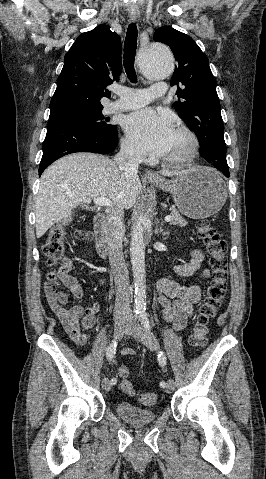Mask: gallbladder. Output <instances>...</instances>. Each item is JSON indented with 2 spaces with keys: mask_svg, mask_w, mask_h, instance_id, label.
I'll return each instance as SVG.
<instances>
[{
  "mask_svg": "<svg viewBox=\"0 0 266 479\" xmlns=\"http://www.w3.org/2000/svg\"><path fill=\"white\" fill-rule=\"evenodd\" d=\"M81 207H82L83 209H87L86 205H82Z\"/></svg>",
  "mask_w": 266,
  "mask_h": 479,
  "instance_id": "obj_1",
  "label": "gallbladder"
}]
</instances>
